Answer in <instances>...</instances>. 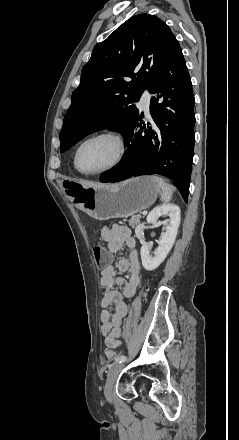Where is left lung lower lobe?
Returning <instances> with one entry per match:
<instances>
[{
  "label": "left lung lower lobe",
  "mask_w": 239,
  "mask_h": 440,
  "mask_svg": "<svg viewBox=\"0 0 239 440\" xmlns=\"http://www.w3.org/2000/svg\"><path fill=\"white\" fill-rule=\"evenodd\" d=\"M152 123L143 114L123 135L127 151L122 163L101 176V182H117L133 176L160 174L175 180L188 200L194 150V95L188 69L179 46L173 48L160 74L148 88ZM143 125V126H142ZM141 129H138V128Z\"/></svg>",
  "instance_id": "1"
}]
</instances>
